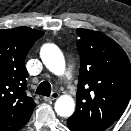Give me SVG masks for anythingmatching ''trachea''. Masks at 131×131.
I'll use <instances>...</instances> for the list:
<instances>
[{"instance_id":"3493384b","label":"trachea","mask_w":131,"mask_h":131,"mask_svg":"<svg viewBox=\"0 0 131 131\" xmlns=\"http://www.w3.org/2000/svg\"><path fill=\"white\" fill-rule=\"evenodd\" d=\"M36 94L49 97L50 94H51V85H50V83H48L46 81L42 82L38 86V88L36 90Z\"/></svg>"}]
</instances>
